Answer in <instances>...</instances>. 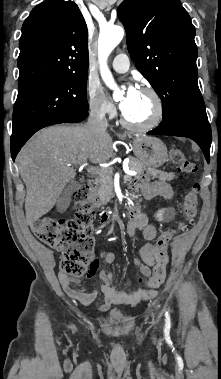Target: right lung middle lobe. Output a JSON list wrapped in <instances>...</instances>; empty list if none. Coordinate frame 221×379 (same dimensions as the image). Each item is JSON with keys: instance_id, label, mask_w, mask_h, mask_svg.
Returning a JSON list of instances; mask_svg holds the SVG:
<instances>
[{"instance_id": "1", "label": "right lung middle lobe", "mask_w": 221, "mask_h": 379, "mask_svg": "<svg viewBox=\"0 0 221 379\" xmlns=\"http://www.w3.org/2000/svg\"><path fill=\"white\" fill-rule=\"evenodd\" d=\"M87 77L88 74L62 75L18 85L11 143L87 112Z\"/></svg>"}]
</instances>
